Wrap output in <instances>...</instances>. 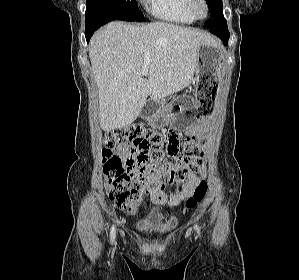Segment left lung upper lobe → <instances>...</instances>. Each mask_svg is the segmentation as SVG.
<instances>
[{
	"label": "left lung upper lobe",
	"mask_w": 299,
	"mask_h": 280,
	"mask_svg": "<svg viewBox=\"0 0 299 280\" xmlns=\"http://www.w3.org/2000/svg\"><path fill=\"white\" fill-rule=\"evenodd\" d=\"M211 18L204 25L207 28L214 29L224 23L222 0H206Z\"/></svg>",
	"instance_id": "left-lung-upper-lobe-1"
}]
</instances>
